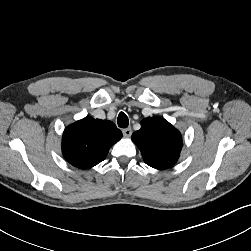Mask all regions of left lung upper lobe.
<instances>
[{"label": "left lung upper lobe", "mask_w": 251, "mask_h": 251, "mask_svg": "<svg viewBox=\"0 0 251 251\" xmlns=\"http://www.w3.org/2000/svg\"><path fill=\"white\" fill-rule=\"evenodd\" d=\"M132 141L140 149L145 163L159 170L173 166L182 148L180 132L160 117L143 119L141 129L132 134Z\"/></svg>", "instance_id": "5c2ea615"}]
</instances>
